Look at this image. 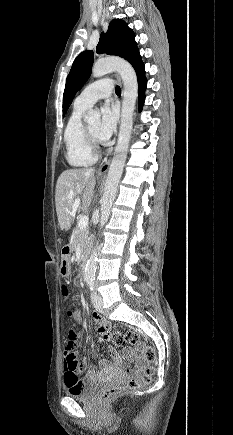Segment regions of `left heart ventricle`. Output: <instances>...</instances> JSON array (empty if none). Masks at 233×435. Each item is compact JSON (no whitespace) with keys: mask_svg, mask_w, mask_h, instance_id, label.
I'll return each mask as SVG.
<instances>
[{"mask_svg":"<svg viewBox=\"0 0 233 435\" xmlns=\"http://www.w3.org/2000/svg\"><path fill=\"white\" fill-rule=\"evenodd\" d=\"M87 125H88L89 129L91 130V132L93 133V135L95 137H97L99 127H100V122L97 120V121L90 122Z\"/></svg>","mask_w":233,"mask_h":435,"instance_id":"obj_1","label":"left heart ventricle"}]
</instances>
